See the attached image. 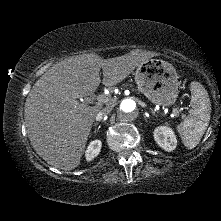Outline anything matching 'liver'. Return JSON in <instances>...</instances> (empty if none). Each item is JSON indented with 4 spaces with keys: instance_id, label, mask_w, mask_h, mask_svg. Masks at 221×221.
<instances>
[{
    "instance_id": "obj_1",
    "label": "liver",
    "mask_w": 221,
    "mask_h": 221,
    "mask_svg": "<svg viewBox=\"0 0 221 221\" xmlns=\"http://www.w3.org/2000/svg\"><path fill=\"white\" fill-rule=\"evenodd\" d=\"M157 53L131 51L103 59L82 54L54 64L34 84L25 102L24 118L31 145L48 164L73 170L80 165L99 106L79 103L77 98L123 81L140 64Z\"/></svg>"
}]
</instances>
